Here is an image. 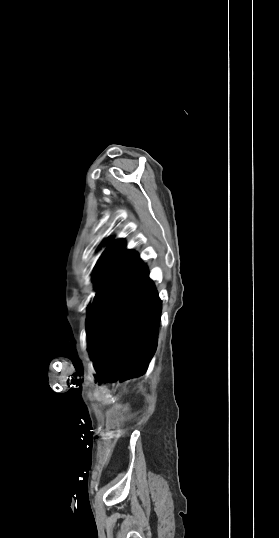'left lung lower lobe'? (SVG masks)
I'll return each mask as SVG.
<instances>
[{"label": "left lung lower lobe", "mask_w": 279, "mask_h": 538, "mask_svg": "<svg viewBox=\"0 0 279 538\" xmlns=\"http://www.w3.org/2000/svg\"><path fill=\"white\" fill-rule=\"evenodd\" d=\"M137 253L88 307V350L100 382L142 375L156 351L161 301Z\"/></svg>", "instance_id": "obj_1"}]
</instances>
